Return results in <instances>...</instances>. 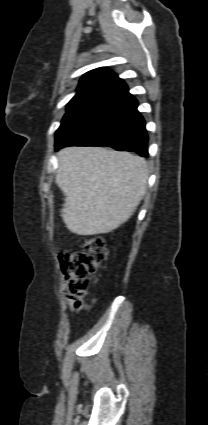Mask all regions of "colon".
I'll return each mask as SVG.
<instances>
[{
	"instance_id": "5ec220e1",
	"label": "colon",
	"mask_w": 208,
	"mask_h": 425,
	"mask_svg": "<svg viewBox=\"0 0 208 425\" xmlns=\"http://www.w3.org/2000/svg\"><path fill=\"white\" fill-rule=\"evenodd\" d=\"M107 251L99 236L82 237L75 251L60 254L64 275V291L67 297L82 303L87 293L89 276L94 274L106 260Z\"/></svg>"
}]
</instances>
